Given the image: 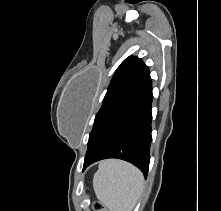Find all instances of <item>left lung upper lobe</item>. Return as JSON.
<instances>
[{"label":"left lung upper lobe","instance_id":"obj_1","mask_svg":"<svg viewBox=\"0 0 221 211\" xmlns=\"http://www.w3.org/2000/svg\"><path fill=\"white\" fill-rule=\"evenodd\" d=\"M149 77L148 67L138 57L130 56L120 64L95 116L93 129L89 134L88 150L113 118L138 95Z\"/></svg>","mask_w":221,"mask_h":211}]
</instances>
